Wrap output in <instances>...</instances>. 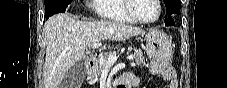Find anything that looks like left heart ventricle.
<instances>
[{
    "label": "left heart ventricle",
    "mask_w": 227,
    "mask_h": 88,
    "mask_svg": "<svg viewBox=\"0 0 227 88\" xmlns=\"http://www.w3.org/2000/svg\"><path fill=\"white\" fill-rule=\"evenodd\" d=\"M133 11L138 18L143 20L154 19L158 14L154 0H135Z\"/></svg>",
    "instance_id": "left-heart-ventricle-1"
}]
</instances>
